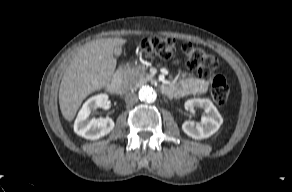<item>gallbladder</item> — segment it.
Segmentation results:
<instances>
[{
	"instance_id": "bac80fb5",
	"label": "gallbladder",
	"mask_w": 292,
	"mask_h": 192,
	"mask_svg": "<svg viewBox=\"0 0 292 192\" xmlns=\"http://www.w3.org/2000/svg\"><path fill=\"white\" fill-rule=\"evenodd\" d=\"M122 53V48L121 46H118L114 49V55L119 56Z\"/></svg>"
}]
</instances>
